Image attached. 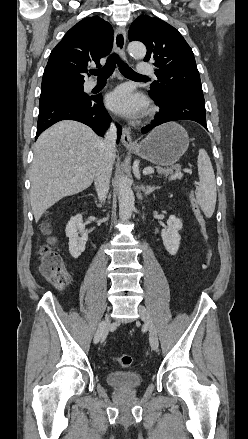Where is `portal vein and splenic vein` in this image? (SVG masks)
Returning <instances> with one entry per match:
<instances>
[{
    "label": "portal vein and splenic vein",
    "mask_w": 248,
    "mask_h": 439,
    "mask_svg": "<svg viewBox=\"0 0 248 439\" xmlns=\"http://www.w3.org/2000/svg\"><path fill=\"white\" fill-rule=\"evenodd\" d=\"M143 173H144L145 175H147V174H152V173H154V169L151 168V167H147V168L144 169Z\"/></svg>",
    "instance_id": "obj_1"
}]
</instances>
